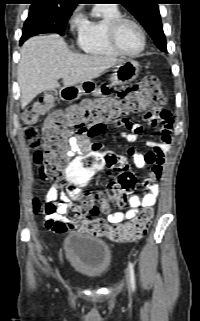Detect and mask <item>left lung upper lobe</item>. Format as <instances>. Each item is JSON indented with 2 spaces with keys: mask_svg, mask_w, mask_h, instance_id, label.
<instances>
[{
  "mask_svg": "<svg viewBox=\"0 0 200 321\" xmlns=\"http://www.w3.org/2000/svg\"><path fill=\"white\" fill-rule=\"evenodd\" d=\"M134 15L162 51H167L158 8L160 0H119Z\"/></svg>",
  "mask_w": 200,
  "mask_h": 321,
  "instance_id": "obj_1",
  "label": "left lung upper lobe"
}]
</instances>
